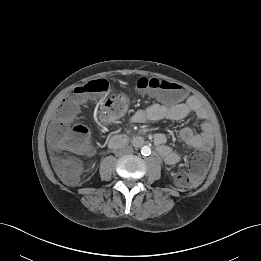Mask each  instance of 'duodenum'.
I'll use <instances>...</instances> for the list:
<instances>
[{
  "mask_svg": "<svg viewBox=\"0 0 261 261\" xmlns=\"http://www.w3.org/2000/svg\"><path fill=\"white\" fill-rule=\"evenodd\" d=\"M129 141L130 139L126 134H117L110 139L109 145L112 148H118L127 145ZM132 142L136 145H142L145 140L143 137L136 135L132 138Z\"/></svg>",
  "mask_w": 261,
  "mask_h": 261,
  "instance_id": "obj_1",
  "label": "duodenum"
}]
</instances>
